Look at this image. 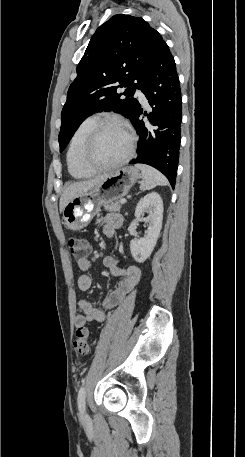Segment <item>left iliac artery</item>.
<instances>
[{
  "label": "left iliac artery",
  "mask_w": 245,
  "mask_h": 457,
  "mask_svg": "<svg viewBox=\"0 0 245 457\" xmlns=\"http://www.w3.org/2000/svg\"><path fill=\"white\" fill-rule=\"evenodd\" d=\"M85 398H86V388L84 385H82L79 389L78 398H77L78 407H79L80 411H84V409H85Z\"/></svg>",
  "instance_id": "44dca946"
}]
</instances>
